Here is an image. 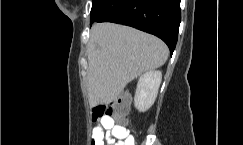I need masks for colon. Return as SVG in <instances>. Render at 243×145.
I'll return each mask as SVG.
<instances>
[{"instance_id":"colon-1","label":"colon","mask_w":243,"mask_h":145,"mask_svg":"<svg viewBox=\"0 0 243 145\" xmlns=\"http://www.w3.org/2000/svg\"><path fill=\"white\" fill-rule=\"evenodd\" d=\"M129 95L121 94L115 102L110 105H98L93 109V120H99L105 117L116 119L121 123H126V115L129 110Z\"/></svg>"}]
</instances>
